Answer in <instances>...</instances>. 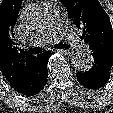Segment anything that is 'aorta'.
Masks as SVG:
<instances>
[{
  "label": "aorta",
  "instance_id": "762f6f07",
  "mask_svg": "<svg viewBox=\"0 0 113 113\" xmlns=\"http://www.w3.org/2000/svg\"><path fill=\"white\" fill-rule=\"evenodd\" d=\"M93 57L87 52H77L72 56V66L79 72L89 71L93 64Z\"/></svg>",
  "mask_w": 113,
  "mask_h": 113
}]
</instances>
